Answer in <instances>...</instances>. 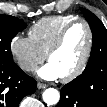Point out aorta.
<instances>
[{
    "label": "aorta",
    "instance_id": "762f6f07",
    "mask_svg": "<svg viewBox=\"0 0 107 107\" xmlns=\"http://www.w3.org/2000/svg\"><path fill=\"white\" fill-rule=\"evenodd\" d=\"M60 94L54 88H48L43 92V101L47 105H55L59 102Z\"/></svg>",
    "mask_w": 107,
    "mask_h": 107
}]
</instances>
